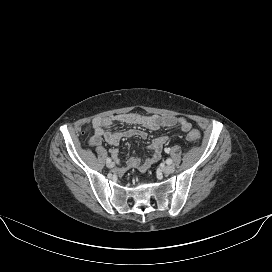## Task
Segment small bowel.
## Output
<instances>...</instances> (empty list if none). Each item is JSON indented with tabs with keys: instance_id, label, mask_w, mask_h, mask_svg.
Returning <instances> with one entry per match:
<instances>
[{
	"instance_id": "1",
	"label": "small bowel",
	"mask_w": 272,
	"mask_h": 272,
	"mask_svg": "<svg viewBox=\"0 0 272 272\" xmlns=\"http://www.w3.org/2000/svg\"><path fill=\"white\" fill-rule=\"evenodd\" d=\"M120 122L124 124L139 125L155 131L161 127H173L178 126L182 132L189 131L191 123L184 117L173 115H140L135 113H123L113 116L99 117L92 121L94 134L91 137V143L93 145H100L104 140L110 145H119L122 138L125 137H139L146 138V133L140 129H130L123 132H111L106 128L112 126L114 123ZM169 137L160 136L156 138L150 145L152 156L141 160L137 157H130L125 165L120 169L125 171L130 168H136L142 172L148 170L155 162L160 160L162 156L163 146L168 142ZM117 151H112V156L117 157Z\"/></svg>"
}]
</instances>
